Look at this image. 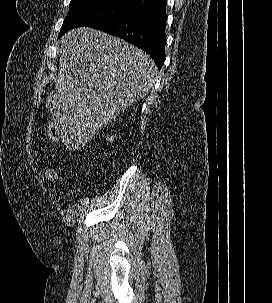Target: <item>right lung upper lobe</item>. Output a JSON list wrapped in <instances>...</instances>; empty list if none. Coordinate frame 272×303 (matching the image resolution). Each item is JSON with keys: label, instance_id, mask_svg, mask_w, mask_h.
<instances>
[{"label": "right lung upper lobe", "instance_id": "cb5924a9", "mask_svg": "<svg viewBox=\"0 0 272 303\" xmlns=\"http://www.w3.org/2000/svg\"><path fill=\"white\" fill-rule=\"evenodd\" d=\"M127 1L134 2L137 4V6L139 8H142V7L154 4V3L158 2L159 0H127Z\"/></svg>", "mask_w": 272, "mask_h": 303}]
</instances>
